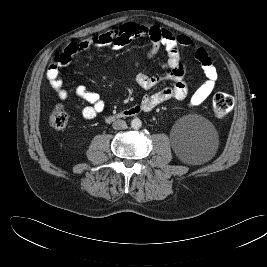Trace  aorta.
I'll use <instances>...</instances> for the list:
<instances>
[{
  "instance_id": "1",
  "label": "aorta",
  "mask_w": 267,
  "mask_h": 267,
  "mask_svg": "<svg viewBox=\"0 0 267 267\" xmlns=\"http://www.w3.org/2000/svg\"><path fill=\"white\" fill-rule=\"evenodd\" d=\"M141 126H142V121L139 118H134L131 121V127L133 129H139V128H141Z\"/></svg>"
}]
</instances>
